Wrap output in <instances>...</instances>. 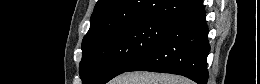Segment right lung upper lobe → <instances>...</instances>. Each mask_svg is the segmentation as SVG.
I'll return each instance as SVG.
<instances>
[{"label": "right lung upper lobe", "mask_w": 260, "mask_h": 84, "mask_svg": "<svg viewBox=\"0 0 260 84\" xmlns=\"http://www.w3.org/2000/svg\"><path fill=\"white\" fill-rule=\"evenodd\" d=\"M202 5V0H98L82 44L108 31L141 20L175 22Z\"/></svg>", "instance_id": "right-lung-upper-lobe-1"}]
</instances>
